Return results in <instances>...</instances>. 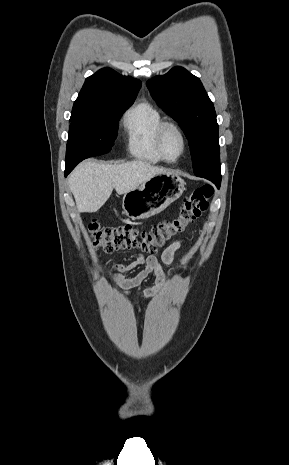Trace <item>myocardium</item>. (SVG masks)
Returning <instances> with one entry per match:
<instances>
[{"label":"myocardium","mask_w":289,"mask_h":465,"mask_svg":"<svg viewBox=\"0 0 289 465\" xmlns=\"http://www.w3.org/2000/svg\"><path fill=\"white\" fill-rule=\"evenodd\" d=\"M170 129L176 131V133L179 135L181 142H182V150L180 154L174 159L169 158L166 155L165 148H164L165 137H166L168 130ZM156 146H157L158 153L160 154L161 158L164 161L168 163L177 162L185 154L186 149H187V138H186V135L182 127L175 121L163 120L161 124L159 125L158 131H157Z\"/></svg>","instance_id":"1"}]
</instances>
